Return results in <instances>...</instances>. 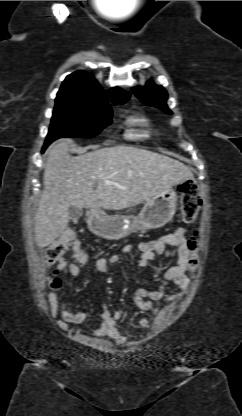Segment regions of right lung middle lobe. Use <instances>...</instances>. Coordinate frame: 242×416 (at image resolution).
I'll return each instance as SVG.
<instances>
[{
	"label": "right lung middle lobe",
	"mask_w": 242,
	"mask_h": 416,
	"mask_svg": "<svg viewBox=\"0 0 242 416\" xmlns=\"http://www.w3.org/2000/svg\"><path fill=\"white\" fill-rule=\"evenodd\" d=\"M126 101L113 103L122 105ZM112 109L108 102L56 101L45 149L61 137L92 138L111 124Z\"/></svg>",
	"instance_id": "obj_1"
}]
</instances>
